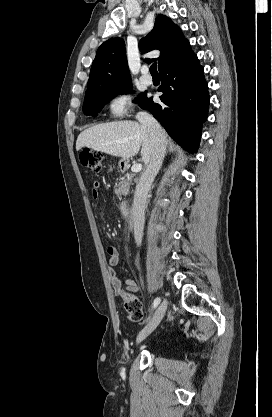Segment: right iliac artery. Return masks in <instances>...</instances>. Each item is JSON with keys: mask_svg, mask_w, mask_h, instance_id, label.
I'll return each instance as SVG.
<instances>
[{"mask_svg": "<svg viewBox=\"0 0 272 417\" xmlns=\"http://www.w3.org/2000/svg\"><path fill=\"white\" fill-rule=\"evenodd\" d=\"M160 303V298L157 297L154 302H153V308H156L158 306V304Z\"/></svg>", "mask_w": 272, "mask_h": 417, "instance_id": "1", "label": "right iliac artery"}]
</instances>
